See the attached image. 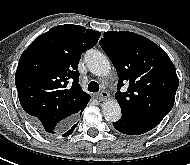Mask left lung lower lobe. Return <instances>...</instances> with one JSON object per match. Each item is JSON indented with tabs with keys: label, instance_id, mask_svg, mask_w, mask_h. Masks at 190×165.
<instances>
[{
	"label": "left lung lower lobe",
	"instance_id": "1",
	"mask_svg": "<svg viewBox=\"0 0 190 165\" xmlns=\"http://www.w3.org/2000/svg\"><path fill=\"white\" fill-rule=\"evenodd\" d=\"M160 121L161 120L157 118L122 113L121 119L114 122L113 126L123 134L140 135L156 127Z\"/></svg>",
	"mask_w": 190,
	"mask_h": 165
}]
</instances>
